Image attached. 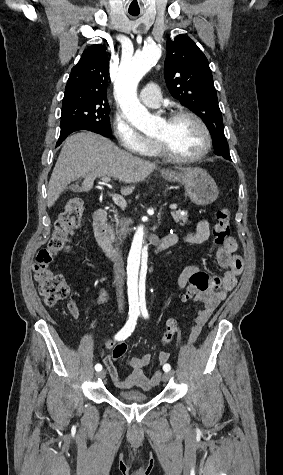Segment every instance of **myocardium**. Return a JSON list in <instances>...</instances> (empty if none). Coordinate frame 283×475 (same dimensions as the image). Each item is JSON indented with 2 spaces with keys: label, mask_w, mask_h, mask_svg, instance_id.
<instances>
[{
  "label": "myocardium",
  "mask_w": 283,
  "mask_h": 475,
  "mask_svg": "<svg viewBox=\"0 0 283 475\" xmlns=\"http://www.w3.org/2000/svg\"><path fill=\"white\" fill-rule=\"evenodd\" d=\"M181 117H189V118L193 119L195 122H197V124L203 130L204 142H203L202 148L200 149V151L198 153H196L195 155L189 156V157H176V156H174L173 154H171L169 152L166 144L162 140L154 138V142H155L156 149L158 151L159 156L161 158H163L165 161H167L169 163H172V164H176L177 162H186L187 165L188 164H194V163H197V162L201 161L210 152V150H211V133H210V130H209L207 124L204 122V120L200 116H198L197 114H195L191 111H187V110L171 111L168 114L166 120L171 122V121H174V120H176L178 118H181Z\"/></svg>",
  "instance_id": "f54148a6"
}]
</instances>
